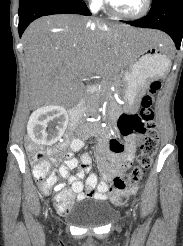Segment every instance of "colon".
Returning <instances> with one entry per match:
<instances>
[{
    "mask_svg": "<svg viewBox=\"0 0 183 246\" xmlns=\"http://www.w3.org/2000/svg\"><path fill=\"white\" fill-rule=\"evenodd\" d=\"M160 87L159 81L152 82L142 98L140 113L122 114L118 119L117 127L121 135L143 134L145 138L138 149L137 165L129 173L113 179L115 193L112 202L116 205H124L128 196L136 193L139 182L145 177L158 150L159 134L155 122L154 103ZM110 146V152H117V155H122V152L126 151L125 144L115 138L110 140ZM27 149L36 179L43 189L49 188L54 176L49 171L44 152L31 144H28ZM56 204L59 212L71 206L70 200L62 196L57 197Z\"/></svg>",
    "mask_w": 183,
    "mask_h": 246,
    "instance_id": "1",
    "label": "colon"
}]
</instances>
